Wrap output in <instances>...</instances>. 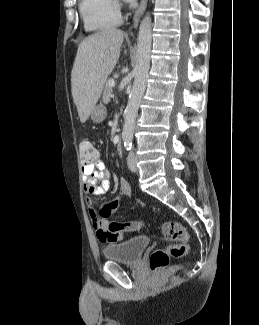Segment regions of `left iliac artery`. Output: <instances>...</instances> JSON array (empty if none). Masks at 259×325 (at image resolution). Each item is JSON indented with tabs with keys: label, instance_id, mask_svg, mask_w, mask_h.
Returning <instances> with one entry per match:
<instances>
[{
	"label": "left iliac artery",
	"instance_id": "obj_1",
	"mask_svg": "<svg viewBox=\"0 0 259 325\" xmlns=\"http://www.w3.org/2000/svg\"><path fill=\"white\" fill-rule=\"evenodd\" d=\"M131 146H132V143L130 141H127L125 143V147H126L127 150H130L131 149Z\"/></svg>",
	"mask_w": 259,
	"mask_h": 325
}]
</instances>
